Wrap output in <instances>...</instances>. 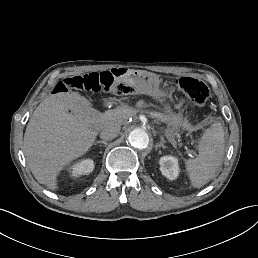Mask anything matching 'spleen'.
<instances>
[{
	"label": "spleen",
	"instance_id": "obj_1",
	"mask_svg": "<svg viewBox=\"0 0 258 258\" xmlns=\"http://www.w3.org/2000/svg\"><path fill=\"white\" fill-rule=\"evenodd\" d=\"M198 150L199 153L194 159L185 162L191 184L196 188L204 186L215 178L222 165L224 130L220 123L212 124L205 131Z\"/></svg>",
	"mask_w": 258,
	"mask_h": 258
}]
</instances>
